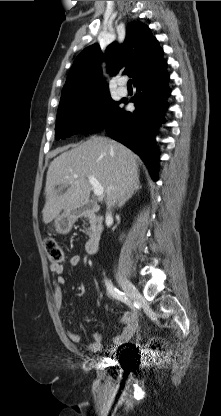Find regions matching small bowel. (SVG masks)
Here are the masks:
<instances>
[{
    "label": "small bowel",
    "instance_id": "obj_1",
    "mask_svg": "<svg viewBox=\"0 0 221 416\" xmlns=\"http://www.w3.org/2000/svg\"><path fill=\"white\" fill-rule=\"evenodd\" d=\"M81 262V257L79 255H72L68 258L66 264L70 268H76ZM50 272L54 275L53 286H54V302L57 309L62 310L64 308V295H63V285L65 284V279L62 276L65 265L64 264H53L49 265ZM120 322L125 325L123 331L120 335L116 336L113 339V346L120 347L123 346L131 340L135 334L137 327V319L135 315L131 312H125L120 317ZM69 339L74 342H80V335L77 332H69ZM102 336L98 331H93L91 333V340L86 345L88 351L92 353H97L101 351Z\"/></svg>",
    "mask_w": 221,
    "mask_h": 416
}]
</instances>
